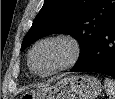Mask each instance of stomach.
Segmentation results:
<instances>
[{"label": "stomach", "mask_w": 115, "mask_h": 99, "mask_svg": "<svg viewBox=\"0 0 115 99\" xmlns=\"http://www.w3.org/2000/svg\"><path fill=\"white\" fill-rule=\"evenodd\" d=\"M102 90L93 76H68L52 86L31 90L22 95L26 99H96Z\"/></svg>", "instance_id": "obj_1"}]
</instances>
